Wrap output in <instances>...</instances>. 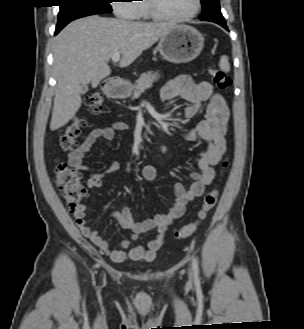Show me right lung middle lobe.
Returning <instances> with one entry per match:
<instances>
[{
  "instance_id": "obj_1",
  "label": "right lung middle lobe",
  "mask_w": 304,
  "mask_h": 329,
  "mask_svg": "<svg viewBox=\"0 0 304 329\" xmlns=\"http://www.w3.org/2000/svg\"><path fill=\"white\" fill-rule=\"evenodd\" d=\"M110 0H59L60 11L56 27L65 26L69 22L99 13H110Z\"/></svg>"
}]
</instances>
